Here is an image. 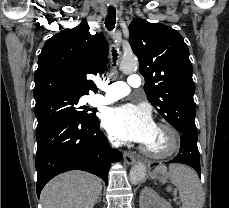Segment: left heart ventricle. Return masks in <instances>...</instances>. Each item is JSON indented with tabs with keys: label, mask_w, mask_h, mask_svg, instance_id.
Here are the masks:
<instances>
[{
	"label": "left heart ventricle",
	"mask_w": 229,
	"mask_h": 208,
	"mask_svg": "<svg viewBox=\"0 0 229 208\" xmlns=\"http://www.w3.org/2000/svg\"><path fill=\"white\" fill-rule=\"evenodd\" d=\"M166 129L155 127L149 139L144 143V146L156 153H164L170 150L172 147H167L165 139L167 135L165 134Z\"/></svg>",
	"instance_id": "b2bd125f"
}]
</instances>
